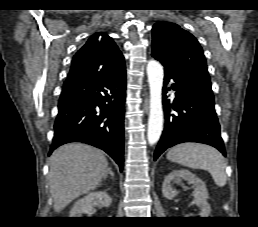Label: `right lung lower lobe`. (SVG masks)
Listing matches in <instances>:
<instances>
[{
	"instance_id": "right-lung-lower-lobe-1",
	"label": "right lung lower lobe",
	"mask_w": 258,
	"mask_h": 227,
	"mask_svg": "<svg viewBox=\"0 0 258 227\" xmlns=\"http://www.w3.org/2000/svg\"><path fill=\"white\" fill-rule=\"evenodd\" d=\"M126 71L119 61L95 74L63 84L50 153L68 142H83L108 153L123 169Z\"/></svg>"
}]
</instances>
